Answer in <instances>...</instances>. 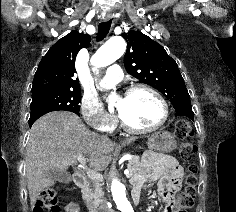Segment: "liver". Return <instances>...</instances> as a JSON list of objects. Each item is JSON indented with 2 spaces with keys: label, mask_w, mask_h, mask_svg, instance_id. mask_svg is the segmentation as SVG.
Wrapping results in <instances>:
<instances>
[{
  "label": "liver",
  "mask_w": 236,
  "mask_h": 212,
  "mask_svg": "<svg viewBox=\"0 0 236 212\" xmlns=\"http://www.w3.org/2000/svg\"><path fill=\"white\" fill-rule=\"evenodd\" d=\"M134 139H128L124 145ZM116 144L105 136L91 132L74 113L50 112L31 127L26 147V179L31 208L39 194L54 185L47 176L50 169L66 172L77 163L78 156H88L95 171L104 169Z\"/></svg>",
  "instance_id": "6515ba94"
}]
</instances>
